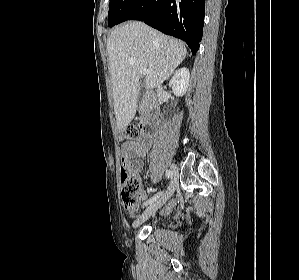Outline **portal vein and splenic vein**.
Wrapping results in <instances>:
<instances>
[{"instance_id": "18ae733b", "label": "portal vein and splenic vein", "mask_w": 299, "mask_h": 280, "mask_svg": "<svg viewBox=\"0 0 299 280\" xmlns=\"http://www.w3.org/2000/svg\"><path fill=\"white\" fill-rule=\"evenodd\" d=\"M140 73H141V75H148V74H150V70H148L146 68H141Z\"/></svg>"}]
</instances>
